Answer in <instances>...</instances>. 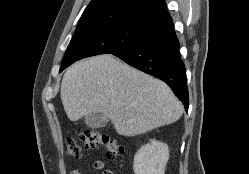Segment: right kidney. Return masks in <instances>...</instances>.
<instances>
[{"label": "right kidney", "instance_id": "1", "mask_svg": "<svg viewBox=\"0 0 249 174\" xmlns=\"http://www.w3.org/2000/svg\"><path fill=\"white\" fill-rule=\"evenodd\" d=\"M168 158V145L157 140H152L150 143L142 146L134 156V173L164 174Z\"/></svg>", "mask_w": 249, "mask_h": 174}]
</instances>
